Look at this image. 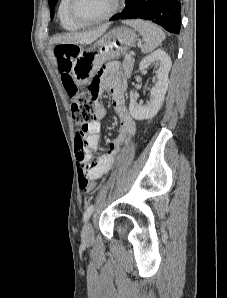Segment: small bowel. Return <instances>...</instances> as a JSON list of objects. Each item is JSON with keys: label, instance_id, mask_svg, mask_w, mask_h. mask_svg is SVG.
Returning a JSON list of instances; mask_svg holds the SVG:
<instances>
[{"label": "small bowel", "instance_id": "small-bowel-1", "mask_svg": "<svg viewBox=\"0 0 227 298\" xmlns=\"http://www.w3.org/2000/svg\"><path fill=\"white\" fill-rule=\"evenodd\" d=\"M101 68L103 69H99L97 75H92L87 82V87L91 92L90 103H95V107H90L89 111H96V117L91 118L92 122L89 125H82V130H85V165L78 160L76 154L80 170L90 179H99L111 169L121 145L136 131L135 121L125 105L124 93L127 81L119 64L117 62L101 63ZM104 91L109 92L112 97V104L119 118V131L118 136L111 141L108 152L90 161L92 153L98 149L101 133L100 121L106 114V108L102 104Z\"/></svg>", "mask_w": 227, "mask_h": 298}]
</instances>
